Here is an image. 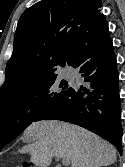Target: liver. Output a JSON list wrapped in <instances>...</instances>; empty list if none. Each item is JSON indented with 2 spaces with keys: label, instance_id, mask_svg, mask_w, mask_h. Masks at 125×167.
<instances>
[{
  "label": "liver",
  "instance_id": "1",
  "mask_svg": "<svg viewBox=\"0 0 125 167\" xmlns=\"http://www.w3.org/2000/svg\"><path fill=\"white\" fill-rule=\"evenodd\" d=\"M34 142L19 152L29 153L38 167H48L53 157L68 158L71 167H102L116 161L113 145L96 134L66 122L45 120L32 123L25 131Z\"/></svg>",
  "mask_w": 125,
  "mask_h": 167
}]
</instances>
